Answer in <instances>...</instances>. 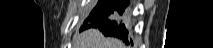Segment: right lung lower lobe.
<instances>
[{
	"label": "right lung lower lobe",
	"mask_w": 213,
	"mask_h": 48,
	"mask_svg": "<svg viewBox=\"0 0 213 48\" xmlns=\"http://www.w3.org/2000/svg\"><path fill=\"white\" fill-rule=\"evenodd\" d=\"M128 0H99L82 29L98 28L105 36L121 38L128 44L125 28V8Z\"/></svg>",
	"instance_id": "obj_1"
}]
</instances>
